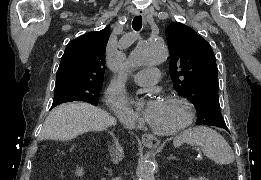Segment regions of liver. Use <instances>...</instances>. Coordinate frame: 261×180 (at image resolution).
Wrapping results in <instances>:
<instances>
[{
	"label": "liver",
	"mask_w": 261,
	"mask_h": 180,
	"mask_svg": "<svg viewBox=\"0 0 261 180\" xmlns=\"http://www.w3.org/2000/svg\"><path fill=\"white\" fill-rule=\"evenodd\" d=\"M116 120L108 112L91 104H62L50 112L42 130L46 140H74L86 132H104L115 126Z\"/></svg>",
	"instance_id": "liver-1"
}]
</instances>
